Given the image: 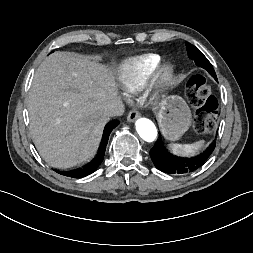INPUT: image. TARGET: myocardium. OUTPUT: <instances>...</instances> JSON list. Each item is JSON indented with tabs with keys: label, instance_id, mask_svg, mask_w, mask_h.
Wrapping results in <instances>:
<instances>
[{
	"label": "myocardium",
	"instance_id": "obj_1",
	"mask_svg": "<svg viewBox=\"0 0 253 253\" xmlns=\"http://www.w3.org/2000/svg\"><path fill=\"white\" fill-rule=\"evenodd\" d=\"M174 66L171 63H159L153 72L149 90L151 94L144 96L141 101L145 102L147 97L151 102H157L161 93L165 91V87L173 82Z\"/></svg>",
	"mask_w": 253,
	"mask_h": 253
}]
</instances>
